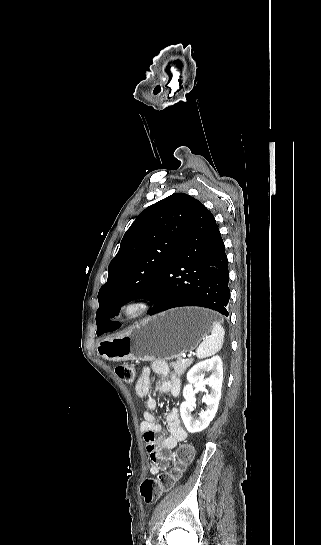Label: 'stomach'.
<instances>
[{"label":"stomach","mask_w":321,"mask_h":545,"mask_svg":"<svg viewBox=\"0 0 321 545\" xmlns=\"http://www.w3.org/2000/svg\"><path fill=\"white\" fill-rule=\"evenodd\" d=\"M213 311L182 307L146 317L120 337L103 339L99 347L110 361L177 359L193 351L212 327Z\"/></svg>","instance_id":"obj_1"}]
</instances>
